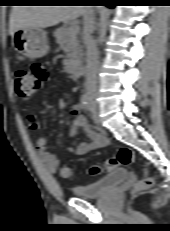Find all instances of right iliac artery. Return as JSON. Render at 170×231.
Masks as SVG:
<instances>
[{
	"instance_id": "obj_1",
	"label": "right iliac artery",
	"mask_w": 170,
	"mask_h": 231,
	"mask_svg": "<svg viewBox=\"0 0 170 231\" xmlns=\"http://www.w3.org/2000/svg\"><path fill=\"white\" fill-rule=\"evenodd\" d=\"M80 102L82 105V108L84 109L85 112H87L88 109V103H89V98L87 94H83L80 98Z\"/></svg>"
}]
</instances>
